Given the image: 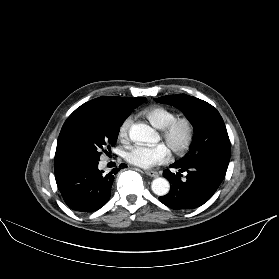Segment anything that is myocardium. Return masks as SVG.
Segmentation results:
<instances>
[{"instance_id":"f54148a6","label":"myocardium","mask_w":279,"mask_h":279,"mask_svg":"<svg viewBox=\"0 0 279 279\" xmlns=\"http://www.w3.org/2000/svg\"><path fill=\"white\" fill-rule=\"evenodd\" d=\"M180 125L185 126L186 135L183 143L179 147H173L170 149L175 155H183L190 149L195 137L194 122L187 116H177L160 130L162 140L167 143L172 137L175 129Z\"/></svg>"}]
</instances>
